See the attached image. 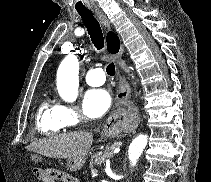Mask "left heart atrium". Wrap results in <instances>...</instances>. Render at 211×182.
<instances>
[{
	"mask_svg": "<svg viewBox=\"0 0 211 182\" xmlns=\"http://www.w3.org/2000/svg\"><path fill=\"white\" fill-rule=\"evenodd\" d=\"M83 106L88 117L99 118L110 108L111 96L104 89L89 90L84 96Z\"/></svg>",
	"mask_w": 211,
	"mask_h": 182,
	"instance_id": "left-heart-atrium-1",
	"label": "left heart atrium"
}]
</instances>
